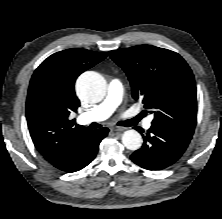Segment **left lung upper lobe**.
I'll list each match as a JSON object with an SVG mask.
<instances>
[{
	"mask_svg": "<svg viewBox=\"0 0 222 219\" xmlns=\"http://www.w3.org/2000/svg\"><path fill=\"white\" fill-rule=\"evenodd\" d=\"M127 74L135 100L154 113L153 126L165 127L192 138L197 120L193 73L176 52L138 45L110 51Z\"/></svg>",
	"mask_w": 222,
	"mask_h": 219,
	"instance_id": "obj_1",
	"label": "left lung upper lobe"
}]
</instances>
